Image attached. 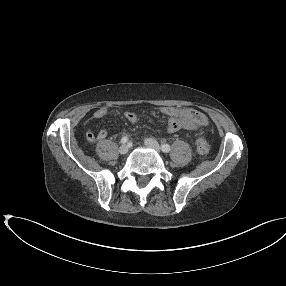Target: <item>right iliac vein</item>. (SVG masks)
Returning a JSON list of instances; mask_svg holds the SVG:
<instances>
[{
  "instance_id": "right-iliac-vein-1",
  "label": "right iliac vein",
  "mask_w": 286,
  "mask_h": 286,
  "mask_svg": "<svg viewBox=\"0 0 286 286\" xmlns=\"http://www.w3.org/2000/svg\"><path fill=\"white\" fill-rule=\"evenodd\" d=\"M128 150H129V148L127 145H122L119 148V153L122 155H125V154H127Z\"/></svg>"
}]
</instances>
